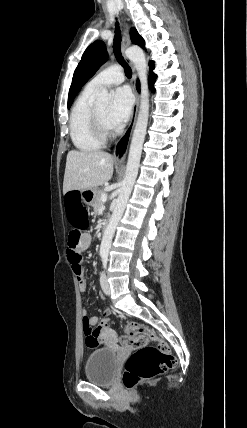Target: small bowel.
<instances>
[{"label": "small bowel", "mask_w": 247, "mask_h": 428, "mask_svg": "<svg viewBox=\"0 0 247 428\" xmlns=\"http://www.w3.org/2000/svg\"><path fill=\"white\" fill-rule=\"evenodd\" d=\"M92 242V237L90 234H83L79 240V243L77 245V250L80 251H86ZM68 260L72 265L73 271L77 276V280H78V287L80 292H85L87 289V282L86 279L84 277V273L80 264V261H78L77 259L74 258L73 254L71 253L70 250H68ZM82 316L83 318H88L89 319V324L91 326L93 325H98L99 323V319L96 316H92L89 317L87 315V310L86 309H82ZM102 340L106 341V343H110L112 341L111 336L108 334V332H104L102 333Z\"/></svg>", "instance_id": "obj_1"}]
</instances>
